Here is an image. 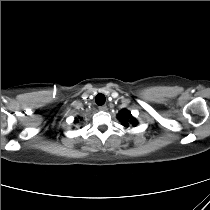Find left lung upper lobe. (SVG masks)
<instances>
[{
	"label": "left lung upper lobe",
	"mask_w": 210,
	"mask_h": 210,
	"mask_svg": "<svg viewBox=\"0 0 210 210\" xmlns=\"http://www.w3.org/2000/svg\"><path fill=\"white\" fill-rule=\"evenodd\" d=\"M119 118L122 120V124L125 127H128L130 124L132 125H136V121L132 118V115L130 114V112L123 110L120 112L119 114Z\"/></svg>",
	"instance_id": "left-lung-upper-lobe-1"
}]
</instances>
